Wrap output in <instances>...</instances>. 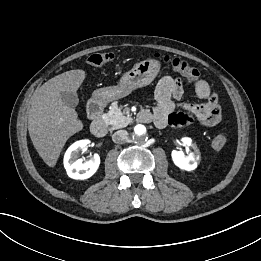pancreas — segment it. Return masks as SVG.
Listing matches in <instances>:
<instances>
[{
  "mask_svg": "<svg viewBox=\"0 0 261 261\" xmlns=\"http://www.w3.org/2000/svg\"><path fill=\"white\" fill-rule=\"evenodd\" d=\"M130 121L131 118L125 116L116 103H113L108 113L104 115V122L110 126V130L126 127Z\"/></svg>",
  "mask_w": 261,
  "mask_h": 261,
  "instance_id": "cf45deb5",
  "label": "pancreas"
}]
</instances>
